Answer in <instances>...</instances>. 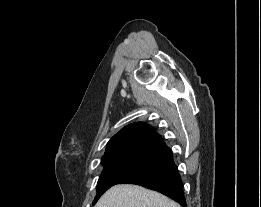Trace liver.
I'll use <instances>...</instances> for the list:
<instances>
[{
	"instance_id": "6515ba94",
	"label": "liver",
	"mask_w": 261,
	"mask_h": 207,
	"mask_svg": "<svg viewBox=\"0 0 261 207\" xmlns=\"http://www.w3.org/2000/svg\"><path fill=\"white\" fill-rule=\"evenodd\" d=\"M95 207H181L168 197L141 186L119 184L110 188Z\"/></svg>"
}]
</instances>
